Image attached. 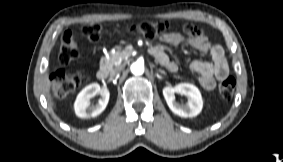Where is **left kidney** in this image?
Segmentation results:
<instances>
[{
    "instance_id": "obj_1",
    "label": "left kidney",
    "mask_w": 283,
    "mask_h": 162,
    "mask_svg": "<svg viewBox=\"0 0 283 162\" xmlns=\"http://www.w3.org/2000/svg\"><path fill=\"white\" fill-rule=\"evenodd\" d=\"M175 93L185 95L188 99L186 104H179L175 100ZM163 96L170 110L180 117H195L203 107V100L199 89L190 83H180L174 87L163 88Z\"/></svg>"
}]
</instances>
